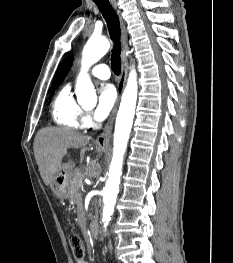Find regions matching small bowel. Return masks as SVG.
Instances as JSON below:
<instances>
[{
  "label": "small bowel",
  "instance_id": "1",
  "mask_svg": "<svg viewBox=\"0 0 233 263\" xmlns=\"http://www.w3.org/2000/svg\"><path fill=\"white\" fill-rule=\"evenodd\" d=\"M78 263H89V262L86 261V260H82V261H80V262H78Z\"/></svg>",
  "mask_w": 233,
  "mask_h": 263
}]
</instances>
